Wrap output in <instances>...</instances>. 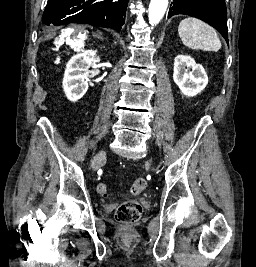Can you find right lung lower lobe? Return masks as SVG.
<instances>
[{"instance_id":"1","label":"right lung lower lobe","mask_w":256,"mask_h":267,"mask_svg":"<svg viewBox=\"0 0 256 267\" xmlns=\"http://www.w3.org/2000/svg\"><path fill=\"white\" fill-rule=\"evenodd\" d=\"M129 0H48L44 25L84 23L120 32Z\"/></svg>"}]
</instances>
